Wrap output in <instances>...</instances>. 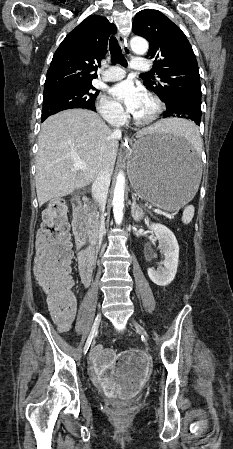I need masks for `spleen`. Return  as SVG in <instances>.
I'll use <instances>...</instances> for the list:
<instances>
[{"instance_id": "3e777b00", "label": "spleen", "mask_w": 233, "mask_h": 449, "mask_svg": "<svg viewBox=\"0 0 233 449\" xmlns=\"http://www.w3.org/2000/svg\"><path fill=\"white\" fill-rule=\"evenodd\" d=\"M197 127L195 125H175V132L178 134V140L180 142H191L195 147L199 142V136L196 132ZM194 216V206L188 205L185 207L182 216V222L189 224Z\"/></svg>"}]
</instances>
